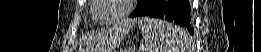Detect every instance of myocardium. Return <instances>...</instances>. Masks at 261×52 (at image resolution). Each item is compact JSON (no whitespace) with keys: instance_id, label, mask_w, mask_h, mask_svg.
<instances>
[{"instance_id":"obj_1","label":"myocardium","mask_w":261,"mask_h":52,"mask_svg":"<svg viewBox=\"0 0 261 52\" xmlns=\"http://www.w3.org/2000/svg\"><path fill=\"white\" fill-rule=\"evenodd\" d=\"M120 1L122 3V9L117 16H115L113 19H110V20H100L97 18V11L100 7H102L105 4V1L104 0H95L96 7L92 11L93 19L100 24H113V23H116V22L124 19L132 11V5L135 1L134 0H120Z\"/></svg>"}]
</instances>
